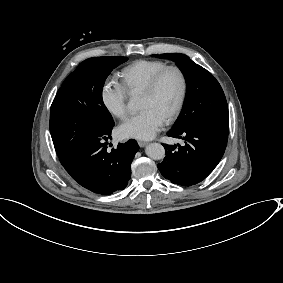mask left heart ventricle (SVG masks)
<instances>
[{
  "instance_id": "1",
  "label": "left heart ventricle",
  "mask_w": 283,
  "mask_h": 283,
  "mask_svg": "<svg viewBox=\"0 0 283 283\" xmlns=\"http://www.w3.org/2000/svg\"><path fill=\"white\" fill-rule=\"evenodd\" d=\"M180 86L178 74L175 71L168 72L153 94H141L139 109L151 108L166 117L177 101Z\"/></svg>"
}]
</instances>
